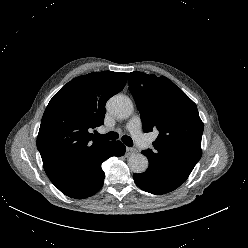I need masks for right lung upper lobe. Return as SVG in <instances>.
Here are the masks:
<instances>
[{
    "mask_svg": "<svg viewBox=\"0 0 248 248\" xmlns=\"http://www.w3.org/2000/svg\"><path fill=\"white\" fill-rule=\"evenodd\" d=\"M128 73L92 72L72 79L50 100L42 117L37 148L51 182L64 181L83 162L98 156L111 141L95 138L105 104L124 88Z\"/></svg>",
    "mask_w": 248,
    "mask_h": 248,
    "instance_id": "right-lung-upper-lobe-1",
    "label": "right lung upper lobe"
}]
</instances>
